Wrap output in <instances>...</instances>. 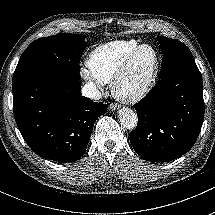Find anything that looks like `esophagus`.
<instances>
[{"label":"esophagus","mask_w":215,"mask_h":215,"mask_svg":"<svg viewBox=\"0 0 215 215\" xmlns=\"http://www.w3.org/2000/svg\"><path fill=\"white\" fill-rule=\"evenodd\" d=\"M109 108L110 110L115 111L116 109H118V106L116 104H111Z\"/></svg>","instance_id":"obj_1"}]
</instances>
